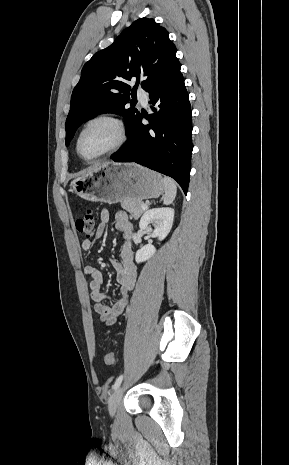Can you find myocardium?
Segmentation results:
<instances>
[{"mask_svg": "<svg viewBox=\"0 0 289 465\" xmlns=\"http://www.w3.org/2000/svg\"><path fill=\"white\" fill-rule=\"evenodd\" d=\"M99 121H103V122H108L110 124H112L116 130H117V133H118V139H117V142L109 149L93 156V157H84L81 152H80V140H81V137L82 135L84 134V132L86 131V129L92 125L93 123L95 122H99ZM127 141V128H126V124L125 122L123 121V119H121L120 117H118L117 115H114L112 113H97L91 117H89L84 123L83 125L81 126L77 136H76V140H75V151H76V154L77 156L87 162V163H91V162H95L107 155H110L112 153H115L116 151H118Z\"/></svg>", "mask_w": 289, "mask_h": 465, "instance_id": "myocardium-1", "label": "myocardium"}]
</instances>
